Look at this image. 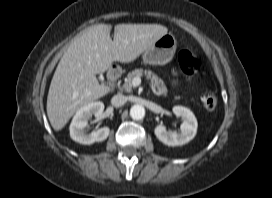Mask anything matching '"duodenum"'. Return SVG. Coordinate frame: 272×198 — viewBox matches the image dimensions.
<instances>
[{
    "instance_id": "obj_1",
    "label": "duodenum",
    "mask_w": 272,
    "mask_h": 198,
    "mask_svg": "<svg viewBox=\"0 0 272 198\" xmlns=\"http://www.w3.org/2000/svg\"><path fill=\"white\" fill-rule=\"evenodd\" d=\"M120 75V70H113L109 74V83L113 85Z\"/></svg>"
}]
</instances>
